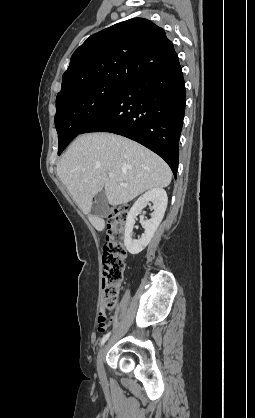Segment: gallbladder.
I'll list each match as a JSON object with an SVG mask.
<instances>
[{"instance_id":"gallbladder-1","label":"gallbladder","mask_w":255,"mask_h":418,"mask_svg":"<svg viewBox=\"0 0 255 418\" xmlns=\"http://www.w3.org/2000/svg\"><path fill=\"white\" fill-rule=\"evenodd\" d=\"M108 211V200L104 190L95 195L90 214L93 216L103 217Z\"/></svg>"}]
</instances>
